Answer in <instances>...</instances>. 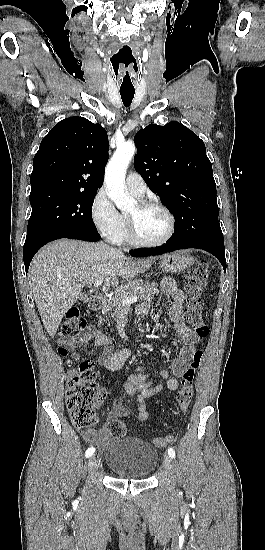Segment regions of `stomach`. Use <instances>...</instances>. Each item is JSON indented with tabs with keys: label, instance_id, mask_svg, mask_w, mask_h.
I'll use <instances>...</instances> for the list:
<instances>
[{
	"label": "stomach",
	"instance_id": "stomach-1",
	"mask_svg": "<svg viewBox=\"0 0 265 550\" xmlns=\"http://www.w3.org/2000/svg\"><path fill=\"white\" fill-rule=\"evenodd\" d=\"M194 258L184 251L166 254L160 258V267L165 273H179L191 267Z\"/></svg>",
	"mask_w": 265,
	"mask_h": 550
}]
</instances>
